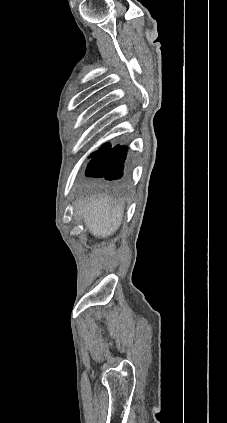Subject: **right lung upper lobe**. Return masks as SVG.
Segmentation results:
<instances>
[{"label":"right lung upper lobe","instance_id":"1","mask_svg":"<svg viewBox=\"0 0 227 423\" xmlns=\"http://www.w3.org/2000/svg\"><path fill=\"white\" fill-rule=\"evenodd\" d=\"M110 147H111L110 144H105L97 152H95L93 154L100 153V152H102V151H104L106 149H109Z\"/></svg>","mask_w":227,"mask_h":423}]
</instances>
